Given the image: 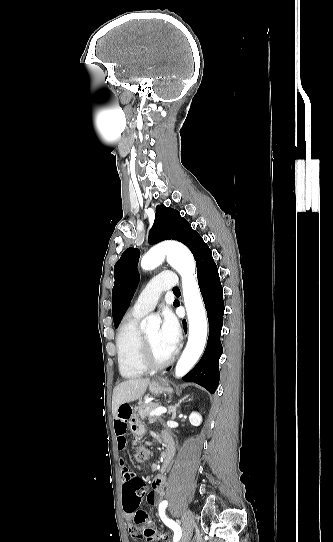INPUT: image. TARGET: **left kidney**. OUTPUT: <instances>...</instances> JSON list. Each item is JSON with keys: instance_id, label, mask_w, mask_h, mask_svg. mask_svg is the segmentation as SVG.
I'll list each match as a JSON object with an SVG mask.
<instances>
[{"instance_id": "obj_1", "label": "left kidney", "mask_w": 333, "mask_h": 542, "mask_svg": "<svg viewBox=\"0 0 333 542\" xmlns=\"http://www.w3.org/2000/svg\"><path fill=\"white\" fill-rule=\"evenodd\" d=\"M189 422L192 424V426H200L202 422V416L198 414V412H191L189 416Z\"/></svg>"}]
</instances>
